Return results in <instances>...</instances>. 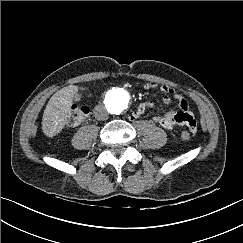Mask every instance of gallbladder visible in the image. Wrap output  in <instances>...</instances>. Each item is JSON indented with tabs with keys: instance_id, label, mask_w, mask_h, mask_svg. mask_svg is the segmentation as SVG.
Here are the masks:
<instances>
[{
	"instance_id": "gallbladder-1",
	"label": "gallbladder",
	"mask_w": 243,
	"mask_h": 243,
	"mask_svg": "<svg viewBox=\"0 0 243 243\" xmlns=\"http://www.w3.org/2000/svg\"><path fill=\"white\" fill-rule=\"evenodd\" d=\"M80 95L79 94H76L75 96H74V99L76 100V101H78L79 99H80Z\"/></svg>"
}]
</instances>
